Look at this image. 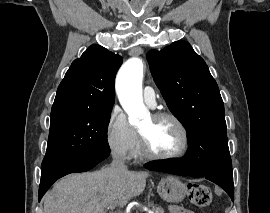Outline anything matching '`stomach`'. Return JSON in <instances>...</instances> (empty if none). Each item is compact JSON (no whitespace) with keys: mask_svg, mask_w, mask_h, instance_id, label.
Returning <instances> with one entry per match:
<instances>
[{"mask_svg":"<svg viewBox=\"0 0 270 213\" xmlns=\"http://www.w3.org/2000/svg\"><path fill=\"white\" fill-rule=\"evenodd\" d=\"M157 192L164 200L177 203L184 199L187 186L175 176H165L158 183Z\"/></svg>","mask_w":270,"mask_h":213,"instance_id":"obj_1","label":"stomach"}]
</instances>
